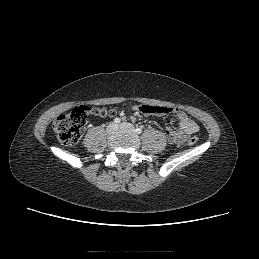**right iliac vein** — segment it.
Listing matches in <instances>:
<instances>
[{
  "mask_svg": "<svg viewBox=\"0 0 259 259\" xmlns=\"http://www.w3.org/2000/svg\"><path fill=\"white\" fill-rule=\"evenodd\" d=\"M117 125L116 124H114V123H111V124H109L108 125V127H107V133L108 134H113V133H115L116 131H117Z\"/></svg>",
  "mask_w": 259,
  "mask_h": 259,
  "instance_id": "1",
  "label": "right iliac vein"
}]
</instances>
